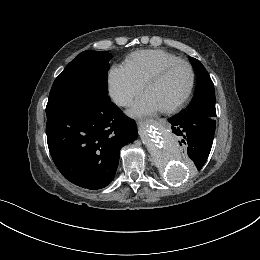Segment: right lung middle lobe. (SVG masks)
<instances>
[{"label": "right lung middle lobe", "mask_w": 260, "mask_h": 260, "mask_svg": "<svg viewBox=\"0 0 260 260\" xmlns=\"http://www.w3.org/2000/svg\"><path fill=\"white\" fill-rule=\"evenodd\" d=\"M107 51L87 50L76 56L54 81L47 108L70 103L88 104L108 95Z\"/></svg>", "instance_id": "dd1d6c3e"}]
</instances>
